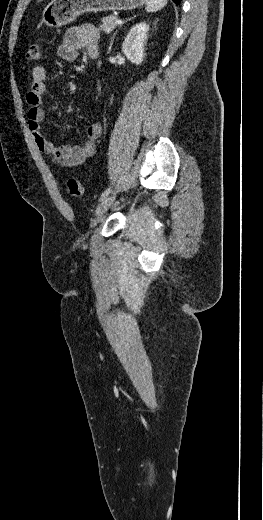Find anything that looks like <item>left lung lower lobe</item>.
<instances>
[{
	"label": "left lung lower lobe",
	"mask_w": 263,
	"mask_h": 520,
	"mask_svg": "<svg viewBox=\"0 0 263 520\" xmlns=\"http://www.w3.org/2000/svg\"><path fill=\"white\" fill-rule=\"evenodd\" d=\"M173 1L175 2L176 5H178L181 2V0H173Z\"/></svg>",
	"instance_id": "obj_1"
}]
</instances>
